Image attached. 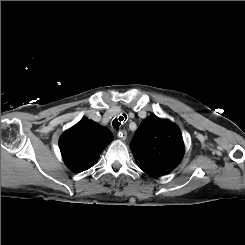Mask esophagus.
Segmentation results:
<instances>
[{"mask_svg":"<svg viewBox=\"0 0 245 245\" xmlns=\"http://www.w3.org/2000/svg\"><path fill=\"white\" fill-rule=\"evenodd\" d=\"M118 138H120L122 141L126 140L127 138V131L126 130H121L118 132Z\"/></svg>","mask_w":245,"mask_h":245,"instance_id":"1","label":"esophagus"}]
</instances>
